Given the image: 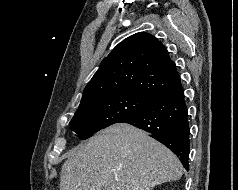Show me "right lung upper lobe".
Masks as SVG:
<instances>
[{"mask_svg": "<svg viewBox=\"0 0 238 190\" xmlns=\"http://www.w3.org/2000/svg\"><path fill=\"white\" fill-rule=\"evenodd\" d=\"M179 82L167 49L154 36L139 32L124 39L102 61L85 87L81 103L117 94L153 102Z\"/></svg>", "mask_w": 238, "mask_h": 190, "instance_id": "right-lung-upper-lobe-1", "label": "right lung upper lobe"}]
</instances>
